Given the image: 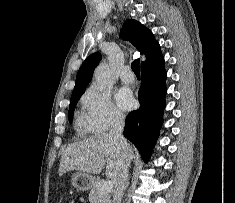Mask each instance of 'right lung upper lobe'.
<instances>
[{"mask_svg": "<svg viewBox=\"0 0 235 203\" xmlns=\"http://www.w3.org/2000/svg\"><path fill=\"white\" fill-rule=\"evenodd\" d=\"M120 36L131 41L138 51L145 54L146 60L141 63V68L162 55L159 43L155 40L151 31L134 19L125 21ZM100 59L101 54L99 52L93 53L86 58L77 73L76 85L72 94L85 90Z\"/></svg>", "mask_w": 235, "mask_h": 203, "instance_id": "obj_1", "label": "right lung upper lobe"}]
</instances>
